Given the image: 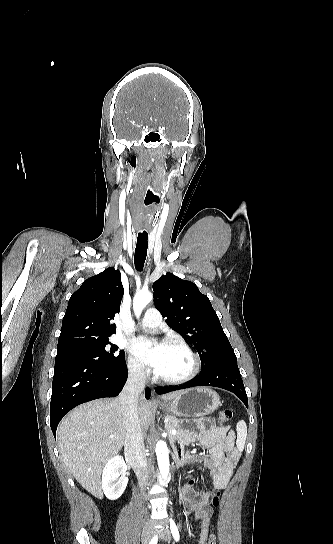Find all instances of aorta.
<instances>
[{"label":"aorta","mask_w":333,"mask_h":544,"mask_svg":"<svg viewBox=\"0 0 333 544\" xmlns=\"http://www.w3.org/2000/svg\"><path fill=\"white\" fill-rule=\"evenodd\" d=\"M153 298V294L149 291H141L136 293L133 299V310L137 318H139L144 307L150 303ZM158 467L160 473L164 479H166L169 473V450L164 441H158L155 448Z\"/></svg>","instance_id":"obj_1"}]
</instances>
